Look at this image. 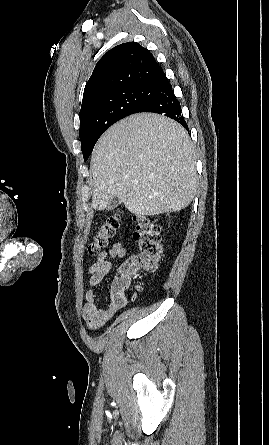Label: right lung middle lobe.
<instances>
[{
  "instance_id": "right-lung-middle-lobe-1",
  "label": "right lung middle lobe",
  "mask_w": 269,
  "mask_h": 445,
  "mask_svg": "<svg viewBox=\"0 0 269 445\" xmlns=\"http://www.w3.org/2000/svg\"><path fill=\"white\" fill-rule=\"evenodd\" d=\"M154 93V86H127L111 90L81 107L79 137L84 160L107 128L135 113Z\"/></svg>"
}]
</instances>
